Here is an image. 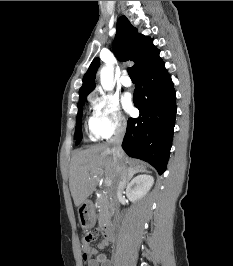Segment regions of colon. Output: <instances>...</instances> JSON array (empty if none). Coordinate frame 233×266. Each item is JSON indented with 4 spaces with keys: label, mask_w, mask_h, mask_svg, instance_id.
Wrapping results in <instances>:
<instances>
[{
    "label": "colon",
    "mask_w": 233,
    "mask_h": 266,
    "mask_svg": "<svg viewBox=\"0 0 233 266\" xmlns=\"http://www.w3.org/2000/svg\"><path fill=\"white\" fill-rule=\"evenodd\" d=\"M99 232L97 230H92L88 234L85 235L84 241L87 243H91L98 238Z\"/></svg>",
    "instance_id": "1"
}]
</instances>
